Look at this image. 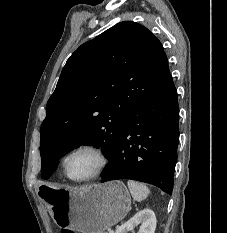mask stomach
I'll return each instance as SVG.
<instances>
[{
    "mask_svg": "<svg viewBox=\"0 0 227 233\" xmlns=\"http://www.w3.org/2000/svg\"><path fill=\"white\" fill-rule=\"evenodd\" d=\"M45 201L55 223L65 230L104 233L121 221L131 209V197L120 181L72 190L43 186Z\"/></svg>",
    "mask_w": 227,
    "mask_h": 233,
    "instance_id": "stomach-1",
    "label": "stomach"
}]
</instances>
